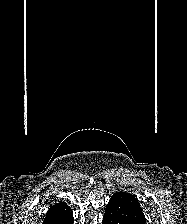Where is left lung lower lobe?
Returning a JSON list of instances; mask_svg holds the SVG:
<instances>
[{
  "label": "left lung lower lobe",
  "mask_w": 187,
  "mask_h": 224,
  "mask_svg": "<svg viewBox=\"0 0 187 224\" xmlns=\"http://www.w3.org/2000/svg\"><path fill=\"white\" fill-rule=\"evenodd\" d=\"M145 220L138 200L133 195L120 191L111 196L102 224H145Z\"/></svg>",
  "instance_id": "0a47b994"
}]
</instances>
